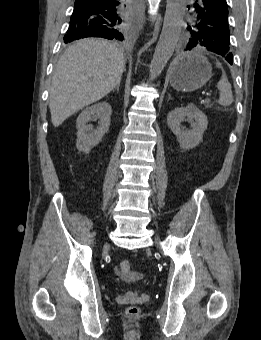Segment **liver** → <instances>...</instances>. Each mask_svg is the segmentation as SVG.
<instances>
[{
	"label": "liver",
	"mask_w": 261,
	"mask_h": 340,
	"mask_svg": "<svg viewBox=\"0 0 261 340\" xmlns=\"http://www.w3.org/2000/svg\"><path fill=\"white\" fill-rule=\"evenodd\" d=\"M121 49L102 39H84L66 49L53 73L49 108L54 127L99 101L121 80Z\"/></svg>",
	"instance_id": "1"
}]
</instances>
